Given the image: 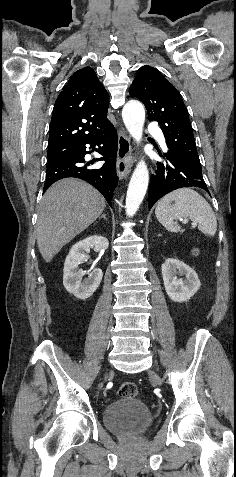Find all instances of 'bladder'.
Segmentation results:
<instances>
[{
  "instance_id": "bladder-1",
  "label": "bladder",
  "mask_w": 236,
  "mask_h": 477,
  "mask_svg": "<svg viewBox=\"0 0 236 477\" xmlns=\"http://www.w3.org/2000/svg\"><path fill=\"white\" fill-rule=\"evenodd\" d=\"M103 423L108 431L119 436L145 433L153 422L149 407L135 397H120L105 405Z\"/></svg>"
}]
</instances>
